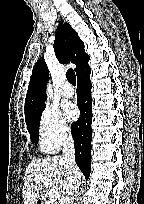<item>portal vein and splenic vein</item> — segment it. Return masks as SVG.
<instances>
[{
  "instance_id": "18ae733b",
  "label": "portal vein and splenic vein",
  "mask_w": 144,
  "mask_h": 204,
  "mask_svg": "<svg viewBox=\"0 0 144 204\" xmlns=\"http://www.w3.org/2000/svg\"><path fill=\"white\" fill-rule=\"evenodd\" d=\"M34 180H35L36 183L43 182L46 188H50L52 186L51 179H49L47 177L36 176L34 178ZM48 197H49L50 203H53V202H55L56 200H58L60 198V193L58 191L54 190V189H51L48 192Z\"/></svg>"
}]
</instances>
